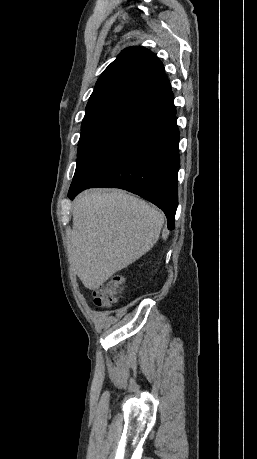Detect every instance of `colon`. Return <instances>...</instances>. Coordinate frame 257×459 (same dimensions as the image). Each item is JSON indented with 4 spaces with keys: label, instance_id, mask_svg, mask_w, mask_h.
Segmentation results:
<instances>
[{
    "label": "colon",
    "instance_id": "5ec220e1",
    "mask_svg": "<svg viewBox=\"0 0 257 459\" xmlns=\"http://www.w3.org/2000/svg\"><path fill=\"white\" fill-rule=\"evenodd\" d=\"M123 277L114 275L93 291V300L97 306L107 307L117 302L118 296L122 291Z\"/></svg>",
    "mask_w": 257,
    "mask_h": 459
}]
</instances>
